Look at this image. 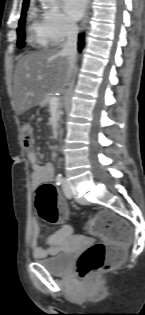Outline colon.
I'll use <instances>...</instances> for the list:
<instances>
[{
	"instance_id": "obj_1",
	"label": "colon",
	"mask_w": 145,
	"mask_h": 315,
	"mask_svg": "<svg viewBox=\"0 0 145 315\" xmlns=\"http://www.w3.org/2000/svg\"><path fill=\"white\" fill-rule=\"evenodd\" d=\"M23 144L29 148L33 143V128L29 122H23ZM36 207L40 217L56 224L67 214L64 201L59 197L56 188L51 183L41 184L37 189ZM88 231L102 239L79 257L76 272L80 278H90L101 272L117 266L124 255V247L131 240L129 225L109 211H101L87 225Z\"/></svg>"
}]
</instances>
